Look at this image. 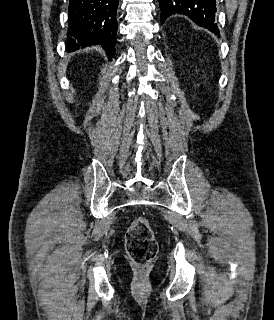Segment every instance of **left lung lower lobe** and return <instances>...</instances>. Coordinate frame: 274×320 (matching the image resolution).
<instances>
[{
	"instance_id": "left-lung-lower-lobe-1",
	"label": "left lung lower lobe",
	"mask_w": 274,
	"mask_h": 320,
	"mask_svg": "<svg viewBox=\"0 0 274 320\" xmlns=\"http://www.w3.org/2000/svg\"><path fill=\"white\" fill-rule=\"evenodd\" d=\"M161 9V24L174 14H184L190 17L197 25L219 34L215 23V0H159Z\"/></svg>"
}]
</instances>
